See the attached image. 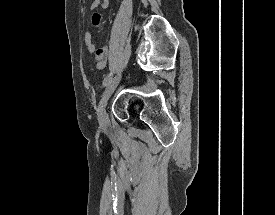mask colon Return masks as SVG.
<instances>
[{"mask_svg": "<svg viewBox=\"0 0 275 215\" xmlns=\"http://www.w3.org/2000/svg\"><path fill=\"white\" fill-rule=\"evenodd\" d=\"M99 21H100V18H99V16L98 15H95L94 17H93V19H92V23H93V25H95V26H97L98 24H99ZM103 54V52H102V50H98L97 51V55H102Z\"/></svg>", "mask_w": 275, "mask_h": 215, "instance_id": "5ec220e1", "label": "colon"}]
</instances>
